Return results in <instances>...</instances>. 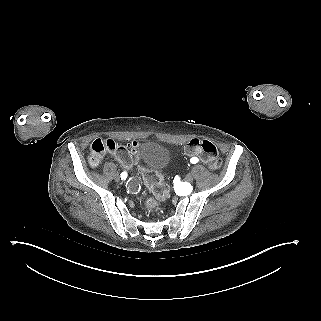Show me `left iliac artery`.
<instances>
[{
	"label": "left iliac artery",
	"mask_w": 321,
	"mask_h": 321,
	"mask_svg": "<svg viewBox=\"0 0 321 321\" xmlns=\"http://www.w3.org/2000/svg\"><path fill=\"white\" fill-rule=\"evenodd\" d=\"M190 162H191L192 164H195V163L198 162V160H197L196 158H192V159L190 160Z\"/></svg>",
	"instance_id": "1"
}]
</instances>
